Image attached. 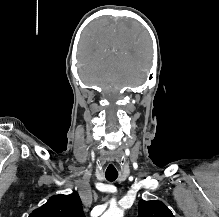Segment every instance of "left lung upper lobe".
<instances>
[{
    "mask_svg": "<svg viewBox=\"0 0 219 217\" xmlns=\"http://www.w3.org/2000/svg\"><path fill=\"white\" fill-rule=\"evenodd\" d=\"M138 217H174V215L161 201L140 200Z\"/></svg>",
    "mask_w": 219,
    "mask_h": 217,
    "instance_id": "1",
    "label": "left lung upper lobe"
}]
</instances>
